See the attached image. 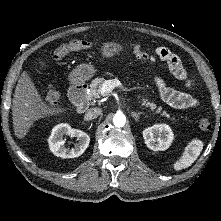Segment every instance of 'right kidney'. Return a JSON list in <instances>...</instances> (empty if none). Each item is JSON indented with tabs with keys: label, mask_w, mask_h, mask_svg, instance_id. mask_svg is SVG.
Returning a JSON list of instances; mask_svg holds the SVG:
<instances>
[{
	"label": "right kidney",
	"mask_w": 221,
	"mask_h": 221,
	"mask_svg": "<svg viewBox=\"0 0 221 221\" xmlns=\"http://www.w3.org/2000/svg\"><path fill=\"white\" fill-rule=\"evenodd\" d=\"M64 135L75 137L78 140V143L75 144L74 148L70 149L65 147V140L63 139ZM48 143L50 150L54 155L62 158H74L85 152L89 146L90 138L85 132L79 129H73L70 125L62 123L56 125L52 129Z\"/></svg>",
	"instance_id": "ca27d5eb"
}]
</instances>
